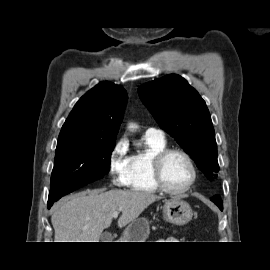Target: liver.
Masks as SVG:
<instances>
[{"label":"liver","instance_id":"liver-1","mask_svg":"<svg viewBox=\"0 0 270 270\" xmlns=\"http://www.w3.org/2000/svg\"><path fill=\"white\" fill-rule=\"evenodd\" d=\"M160 197L136 190L85 191L64 199L53 210L51 223L55 242H99L120 211L118 227L133 222Z\"/></svg>","mask_w":270,"mask_h":270}]
</instances>
